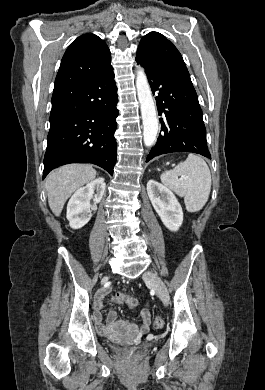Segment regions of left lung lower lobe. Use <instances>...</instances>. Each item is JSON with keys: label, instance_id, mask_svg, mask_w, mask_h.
I'll return each mask as SVG.
<instances>
[{"label": "left lung lower lobe", "instance_id": "0a47b994", "mask_svg": "<svg viewBox=\"0 0 265 390\" xmlns=\"http://www.w3.org/2000/svg\"><path fill=\"white\" fill-rule=\"evenodd\" d=\"M156 92L158 114L163 116L161 133L146 162L174 152H192L211 159L198 97L188 71L151 67L136 58Z\"/></svg>", "mask_w": 265, "mask_h": 390}]
</instances>
